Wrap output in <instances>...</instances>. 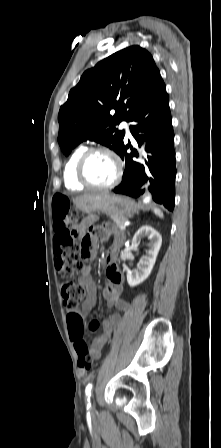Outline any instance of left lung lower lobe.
<instances>
[{"mask_svg":"<svg viewBox=\"0 0 221 448\" xmlns=\"http://www.w3.org/2000/svg\"><path fill=\"white\" fill-rule=\"evenodd\" d=\"M132 121L136 123L130 126L133 137L140 146L144 140L147 143L146 150L149 156L146 164L151 177L148 179L144 167L132 160V157L137 155L133 152L127 153L130 147L128 141L119 153L125 160V171L121 184L114 189V192L139 197L144 193L140 187L144 181L149 180L153 200L172 211L175 200L176 167L174 132L166 88L151 96Z\"/></svg>","mask_w":221,"mask_h":448,"instance_id":"0a47b994","label":"left lung lower lobe"}]
</instances>
